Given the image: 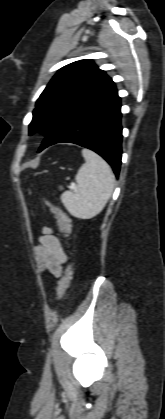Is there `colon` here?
I'll use <instances>...</instances> for the list:
<instances>
[{"instance_id": "1", "label": "colon", "mask_w": 165, "mask_h": 419, "mask_svg": "<svg viewBox=\"0 0 165 419\" xmlns=\"http://www.w3.org/2000/svg\"><path fill=\"white\" fill-rule=\"evenodd\" d=\"M46 204L49 207L52 214L54 215L55 219L57 220L61 234L64 237H67L71 232V222L69 216L57 204H55L48 198H46ZM72 274V265L68 263L65 266L64 274L61 277L57 287V295L59 300H62L66 292L68 291L72 280Z\"/></svg>"}]
</instances>
